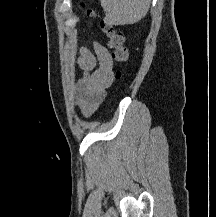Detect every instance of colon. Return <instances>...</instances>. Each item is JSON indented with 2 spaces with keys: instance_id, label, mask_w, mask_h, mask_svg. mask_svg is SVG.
Returning <instances> with one entry per match:
<instances>
[{
  "instance_id": "obj_1",
  "label": "colon",
  "mask_w": 216,
  "mask_h": 217,
  "mask_svg": "<svg viewBox=\"0 0 216 217\" xmlns=\"http://www.w3.org/2000/svg\"><path fill=\"white\" fill-rule=\"evenodd\" d=\"M87 13L90 16L96 17L95 13L92 10H88ZM100 25L106 36L109 48L113 50V58L117 63L120 64V68L116 71V78L121 79L125 74L124 65L129 58V50L126 45L125 36L122 30L108 25L103 21L100 22Z\"/></svg>"
}]
</instances>
